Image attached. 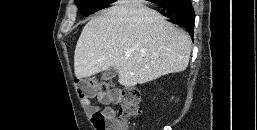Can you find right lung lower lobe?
Masks as SVG:
<instances>
[{
    "mask_svg": "<svg viewBox=\"0 0 257 130\" xmlns=\"http://www.w3.org/2000/svg\"><path fill=\"white\" fill-rule=\"evenodd\" d=\"M154 3L163 8L162 14L169 22L188 29L193 36L195 13L190 0H164Z\"/></svg>",
    "mask_w": 257,
    "mask_h": 130,
    "instance_id": "1",
    "label": "right lung lower lobe"
}]
</instances>
